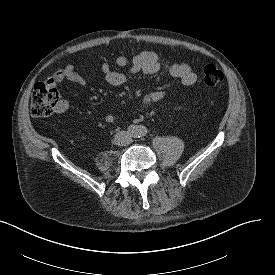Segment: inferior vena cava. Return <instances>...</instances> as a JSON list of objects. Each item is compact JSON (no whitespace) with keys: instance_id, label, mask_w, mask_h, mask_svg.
<instances>
[{"instance_id":"inferior-vena-cava-1","label":"inferior vena cava","mask_w":275,"mask_h":275,"mask_svg":"<svg viewBox=\"0 0 275 275\" xmlns=\"http://www.w3.org/2000/svg\"><path fill=\"white\" fill-rule=\"evenodd\" d=\"M114 142L116 145L125 146L131 142V137L126 131H119L115 135Z\"/></svg>"}]
</instances>
